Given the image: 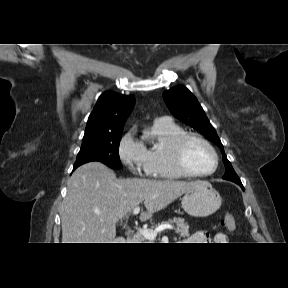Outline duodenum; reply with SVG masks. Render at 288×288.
Masks as SVG:
<instances>
[{
  "label": "duodenum",
  "mask_w": 288,
  "mask_h": 288,
  "mask_svg": "<svg viewBox=\"0 0 288 288\" xmlns=\"http://www.w3.org/2000/svg\"><path fill=\"white\" fill-rule=\"evenodd\" d=\"M121 243H130V239L123 237L120 239Z\"/></svg>",
  "instance_id": "obj_1"
}]
</instances>
